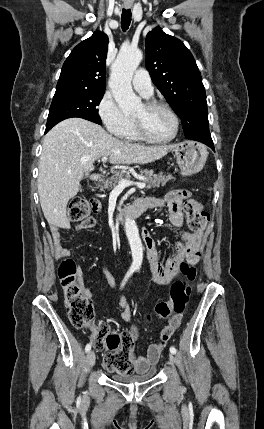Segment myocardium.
Instances as JSON below:
<instances>
[{"label":"myocardium","mask_w":264,"mask_h":429,"mask_svg":"<svg viewBox=\"0 0 264 429\" xmlns=\"http://www.w3.org/2000/svg\"><path fill=\"white\" fill-rule=\"evenodd\" d=\"M144 106L146 107V109L148 110H163L166 111L173 119L174 121V131L172 133V135L166 139H155L152 138L146 131V128L144 126V124L134 118V124L138 133V136L140 137L141 140L146 141L148 143H152V144H166L169 143L171 141H173L178 133H179V128H180V120L178 115L173 111V109L171 107H169L167 104L162 103V102H157V101H149L146 102L144 104Z\"/></svg>","instance_id":"obj_1"}]
</instances>
